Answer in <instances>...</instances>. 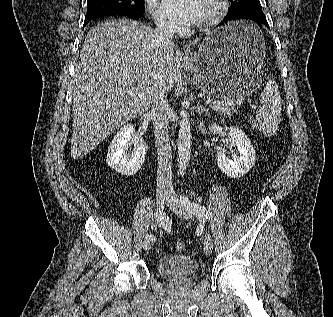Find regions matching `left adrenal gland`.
Here are the masks:
<instances>
[{
    "label": "left adrenal gland",
    "mask_w": 333,
    "mask_h": 317,
    "mask_svg": "<svg viewBox=\"0 0 333 317\" xmlns=\"http://www.w3.org/2000/svg\"><path fill=\"white\" fill-rule=\"evenodd\" d=\"M203 112L209 113V110L206 109L200 102L198 103L197 107H196V113L197 114H201Z\"/></svg>",
    "instance_id": "left-adrenal-gland-1"
}]
</instances>
